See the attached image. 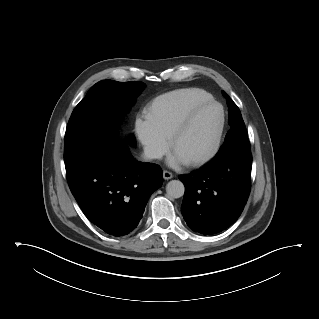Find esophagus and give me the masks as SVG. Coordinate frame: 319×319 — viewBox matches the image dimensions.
Segmentation results:
<instances>
[{
	"label": "esophagus",
	"instance_id": "obj_1",
	"mask_svg": "<svg viewBox=\"0 0 319 319\" xmlns=\"http://www.w3.org/2000/svg\"><path fill=\"white\" fill-rule=\"evenodd\" d=\"M163 178L165 180H169V179L173 178V174L167 170H164L163 171Z\"/></svg>",
	"mask_w": 319,
	"mask_h": 319
}]
</instances>
